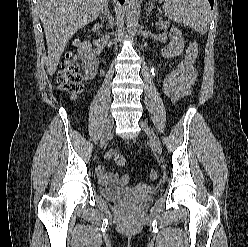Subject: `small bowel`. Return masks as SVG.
Segmentation results:
<instances>
[{"mask_svg": "<svg viewBox=\"0 0 248 247\" xmlns=\"http://www.w3.org/2000/svg\"><path fill=\"white\" fill-rule=\"evenodd\" d=\"M188 54V49L185 53L186 57ZM197 77V71L195 64H193L189 69H187L180 78L179 90L176 97L173 100H178L187 96L190 93L191 87L194 84ZM97 174L99 179L104 184H115V185H126L129 181L128 175H120L117 173H111L106 171L103 165L97 167Z\"/></svg>", "mask_w": 248, "mask_h": 247, "instance_id": "small-bowel-1", "label": "small bowel"}]
</instances>
